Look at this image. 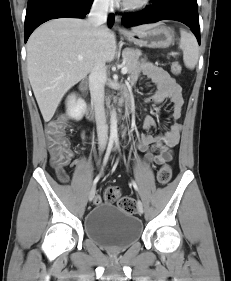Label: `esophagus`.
I'll list each match as a JSON object with an SVG mask.
<instances>
[{"mask_svg":"<svg viewBox=\"0 0 231 281\" xmlns=\"http://www.w3.org/2000/svg\"><path fill=\"white\" fill-rule=\"evenodd\" d=\"M115 23H116V29L119 31V32H126V30L122 27H120L118 24L120 23V17L119 16H116L115 17Z\"/></svg>","mask_w":231,"mask_h":281,"instance_id":"34e87169","label":"esophagus"}]
</instances>
